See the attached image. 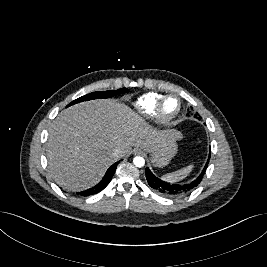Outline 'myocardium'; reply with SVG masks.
<instances>
[{
	"label": "myocardium",
	"mask_w": 267,
	"mask_h": 267,
	"mask_svg": "<svg viewBox=\"0 0 267 267\" xmlns=\"http://www.w3.org/2000/svg\"><path fill=\"white\" fill-rule=\"evenodd\" d=\"M169 99H176L178 102V107H177V110L172 115L165 116L163 114V106H164L165 102ZM181 108H182L181 99L177 95L169 94V95L163 96L158 101V103L156 104L153 115H154V118H155L157 123H159L161 125H169L179 116V114L181 112Z\"/></svg>",
	"instance_id": "1"
}]
</instances>
